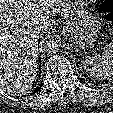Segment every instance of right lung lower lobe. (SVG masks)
<instances>
[{
    "mask_svg": "<svg viewBox=\"0 0 113 113\" xmlns=\"http://www.w3.org/2000/svg\"><path fill=\"white\" fill-rule=\"evenodd\" d=\"M41 86H42V84L40 85V87H38V88L34 91V93H36V92L41 88Z\"/></svg>",
    "mask_w": 113,
    "mask_h": 113,
    "instance_id": "1",
    "label": "right lung lower lobe"
}]
</instances>
